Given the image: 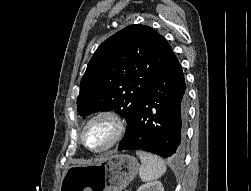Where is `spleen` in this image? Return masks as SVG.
Listing matches in <instances>:
<instances>
[{
  "label": "spleen",
  "instance_id": "1",
  "mask_svg": "<svg viewBox=\"0 0 251 191\" xmlns=\"http://www.w3.org/2000/svg\"><path fill=\"white\" fill-rule=\"evenodd\" d=\"M136 155L141 159V167L139 169V175L142 181H152V179H157L165 173L167 167L158 155H152V153H147V151H136Z\"/></svg>",
  "mask_w": 251,
  "mask_h": 191
}]
</instances>
